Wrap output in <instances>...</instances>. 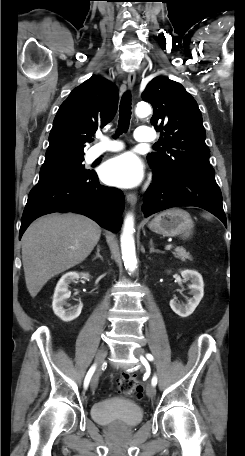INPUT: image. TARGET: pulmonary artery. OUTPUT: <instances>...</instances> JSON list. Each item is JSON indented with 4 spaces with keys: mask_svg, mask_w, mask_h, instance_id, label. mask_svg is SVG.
I'll return each instance as SVG.
<instances>
[{
    "mask_svg": "<svg viewBox=\"0 0 245 456\" xmlns=\"http://www.w3.org/2000/svg\"><path fill=\"white\" fill-rule=\"evenodd\" d=\"M156 138L155 132L148 127H139L135 131V139L138 142H152ZM100 142L93 146L89 151L88 158L94 160L107 152L119 151L123 145L116 141H111L105 136H99Z\"/></svg>",
    "mask_w": 245,
    "mask_h": 456,
    "instance_id": "pulmonary-artery-1",
    "label": "pulmonary artery"
}]
</instances>
